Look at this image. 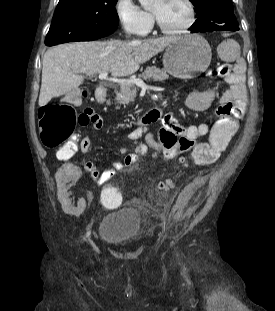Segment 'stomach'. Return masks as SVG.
<instances>
[{
	"label": "stomach",
	"mask_w": 275,
	"mask_h": 311,
	"mask_svg": "<svg viewBox=\"0 0 275 311\" xmlns=\"http://www.w3.org/2000/svg\"><path fill=\"white\" fill-rule=\"evenodd\" d=\"M211 47L199 34L176 37L163 55V66L170 75L180 79H191L203 73L210 65Z\"/></svg>",
	"instance_id": "stomach-1"
}]
</instances>
